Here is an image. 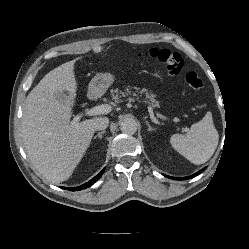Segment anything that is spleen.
Masks as SVG:
<instances>
[{
	"mask_svg": "<svg viewBox=\"0 0 249 249\" xmlns=\"http://www.w3.org/2000/svg\"><path fill=\"white\" fill-rule=\"evenodd\" d=\"M219 141L213 124L212 113L194 123L187 134H174L170 138L172 147L193 164L200 165L214 154Z\"/></svg>",
	"mask_w": 249,
	"mask_h": 249,
	"instance_id": "1",
	"label": "spleen"
}]
</instances>
